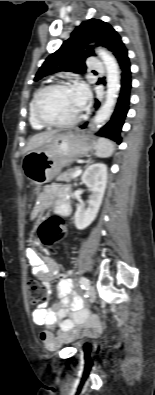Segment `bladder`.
I'll return each mask as SVG.
<instances>
[{
    "label": "bladder",
    "mask_w": 155,
    "mask_h": 395,
    "mask_svg": "<svg viewBox=\"0 0 155 395\" xmlns=\"http://www.w3.org/2000/svg\"><path fill=\"white\" fill-rule=\"evenodd\" d=\"M72 346L78 350L88 351L93 348V339L84 338L72 343Z\"/></svg>",
    "instance_id": "1"
}]
</instances>
